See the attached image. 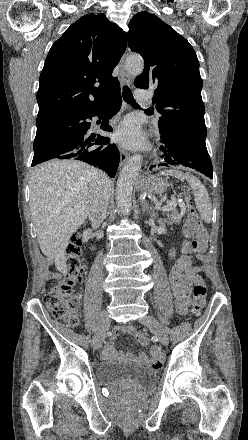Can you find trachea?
Segmentation results:
<instances>
[{"instance_id": "trachea-1", "label": "trachea", "mask_w": 248, "mask_h": 440, "mask_svg": "<svg viewBox=\"0 0 248 440\" xmlns=\"http://www.w3.org/2000/svg\"><path fill=\"white\" fill-rule=\"evenodd\" d=\"M123 98L128 104H131L134 107H139L132 95L130 88L127 86L123 87ZM147 111H150V109H147Z\"/></svg>"}]
</instances>
